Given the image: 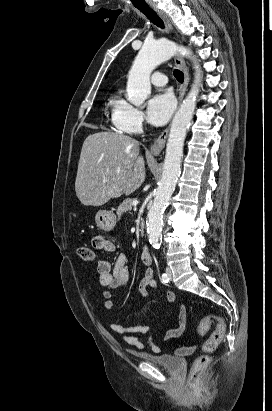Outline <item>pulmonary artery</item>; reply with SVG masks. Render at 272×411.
Returning <instances> with one entry per match:
<instances>
[{"label": "pulmonary artery", "mask_w": 272, "mask_h": 411, "mask_svg": "<svg viewBox=\"0 0 272 411\" xmlns=\"http://www.w3.org/2000/svg\"><path fill=\"white\" fill-rule=\"evenodd\" d=\"M151 82L155 86L162 87L167 84L168 80L164 73L156 72L152 75Z\"/></svg>", "instance_id": "pulmonary-artery-1"}]
</instances>
